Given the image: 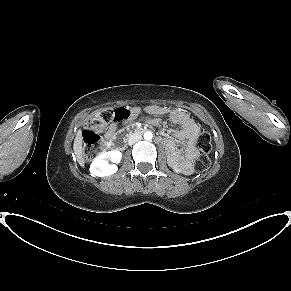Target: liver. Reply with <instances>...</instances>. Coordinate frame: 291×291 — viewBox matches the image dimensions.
Here are the masks:
<instances>
[{
	"instance_id": "liver-1",
	"label": "liver",
	"mask_w": 291,
	"mask_h": 291,
	"mask_svg": "<svg viewBox=\"0 0 291 291\" xmlns=\"http://www.w3.org/2000/svg\"><path fill=\"white\" fill-rule=\"evenodd\" d=\"M73 150L76 155L77 162L80 166L84 167L85 161L82 155V131L79 130L76 134L74 143H73Z\"/></svg>"
}]
</instances>
